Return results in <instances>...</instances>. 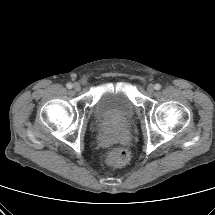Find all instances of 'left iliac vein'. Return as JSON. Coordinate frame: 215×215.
<instances>
[{"label":"left iliac vein","mask_w":215,"mask_h":215,"mask_svg":"<svg viewBox=\"0 0 215 215\" xmlns=\"http://www.w3.org/2000/svg\"><path fill=\"white\" fill-rule=\"evenodd\" d=\"M154 86L152 85V84H150V85H148V87H147V92L148 93H153V91H154Z\"/></svg>","instance_id":"1"}]
</instances>
